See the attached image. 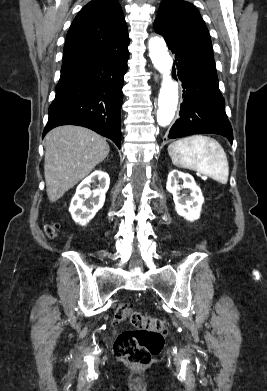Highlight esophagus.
I'll use <instances>...</instances> for the list:
<instances>
[{"label":"esophagus","instance_id":"34e87169","mask_svg":"<svg viewBox=\"0 0 267 391\" xmlns=\"http://www.w3.org/2000/svg\"><path fill=\"white\" fill-rule=\"evenodd\" d=\"M154 80H155V82H158V75L155 74Z\"/></svg>","mask_w":267,"mask_h":391}]
</instances>
